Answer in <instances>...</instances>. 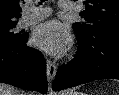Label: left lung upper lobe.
I'll list each match as a JSON object with an SVG mask.
<instances>
[{"mask_svg":"<svg viewBox=\"0 0 119 95\" xmlns=\"http://www.w3.org/2000/svg\"><path fill=\"white\" fill-rule=\"evenodd\" d=\"M84 4L80 15L86 22L72 25L79 40L119 36V0H85Z\"/></svg>","mask_w":119,"mask_h":95,"instance_id":"left-lung-upper-lobe-1","label":"left lung upper lobe"}]
</instances>
